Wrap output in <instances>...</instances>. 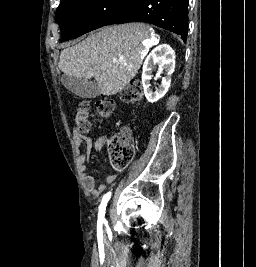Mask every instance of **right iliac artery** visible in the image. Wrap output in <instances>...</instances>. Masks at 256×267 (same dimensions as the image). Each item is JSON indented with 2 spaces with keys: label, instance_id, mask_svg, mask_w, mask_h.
<instances>
[{
  "label": "right iliac artery",
  "instance_id": "obj_1",
  "mask_svg": "<svg viewBox=\"0 0 256 267\" xmlns=\"http://www.w3.org/2000/svg\"><path fill=\"white\" fill-rule=\"evenodd\" d=\"M110 197H111V192H108L103 196L102 202L99 206L98 222H103L105 220V210Z\"/></svg>",
  "mask_w": 256,
  "mask_h": 267
}]
</instances>
